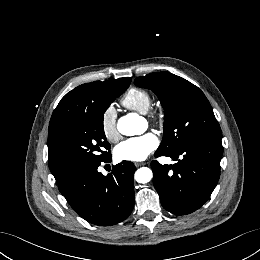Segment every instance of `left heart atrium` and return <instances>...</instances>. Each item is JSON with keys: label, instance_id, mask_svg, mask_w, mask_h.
<instances>
[{"label": "left heart atrium", "instance_id": "39dd6f15", "mask_svg": "<svg viewBox=\"0 0 260 260\" xmlns=\"http://www.w3.org/2000/svg\"><path fill=\"white\" fill-rule=\"evenodd\" d=\"M158 144L159 140L156 135L147 133L121 142L116 146L114 154L119 160L143 161L157 148Z\"/></svg>", "mask_w": 260, "mask_h": 260}]
</instances>
